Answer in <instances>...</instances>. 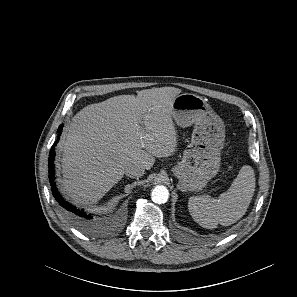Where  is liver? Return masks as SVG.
<instances>
[{"label":"liver","instance_id":"6515ba94","mask_svg":"<svg viewBox=\"0 0 297 297\" xmlns=\"http://www.w3.org/2000/svg\"><path fill=\"white\" fill-rule=\"evenodd\" d=\"M180 93L152 88L81 109L60 143L64 193L79 204H94L123 178L126 166L149 170L155 157L170 156L177 146L172 105Z\"/></svg>","mask_w":297,"mask_h":297}]
</instances>
